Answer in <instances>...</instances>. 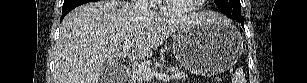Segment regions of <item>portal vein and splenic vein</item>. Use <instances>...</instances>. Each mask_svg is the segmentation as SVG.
<instances>
[{
    "label": "portal vein and splenic vein",
    "mask_w": 307,
    "mask_h": 83,
    "mask_svg": "<svg viewBox=\"0 0 307 83\" xmlns=\"http://www.w3.org/2000/svg\"><path fill=\"white\" fill-rule=\"evenodd\" d=\"M132 47V44H128L124 49L123 52L121 53L124 55L128 60L131 62H134V64L137 65L139 72L142 74V76L146 80H151L155 75H157L151 68L145 64H138L135 59L128 54V50ZM159 78L164 79L166 81L170 80L171 78L169 76L161 75L158 74Z\"/></svg>",
    "instance_id": "1"
}]
</instances>
